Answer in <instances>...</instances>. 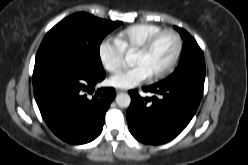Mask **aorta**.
Returning <instances> with one entry per match:
<instances>
[{
  "instance_id": "1",
  "label": "aorta",
  "mask_w": 248,
  "mask_h": 165,
  "mask_svg": "<svg viewBox=\"0 0 248 165\" xmlns=\"http://www.w3.org/2000/svg\"><path fill=\"white\" fill-rule=\"evenodd\" d=\"M126 60L128 63L132 60V54L131 53L126 54ZM116 103L119 107L126 108L130 105L131 98H130L129 94H127V93H120L116 96Z\"/></svg>"
}]
</instances>
